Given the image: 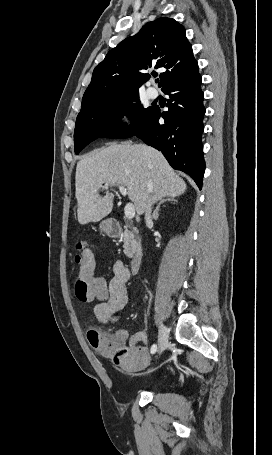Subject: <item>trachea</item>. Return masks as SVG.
<instances>
[{
	"label": "trachea",
	"instance_id": "trachea-1",
	"mask_svg": "<svg viewBox=\"0 0 272 455\" xmlns=\"http://www.w3.org/2000/svg\"><path fill=\"white\" fill-rule=\"evenodd\" d=\"M156 82H159V80H158V79H156Z\"/></svg>",
	"mask_w": 272,
	"mask_h": 455
}]
</instances>
